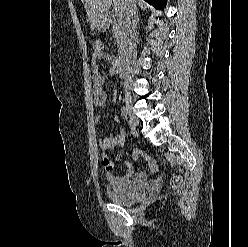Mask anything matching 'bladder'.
<instances>
[{
	"mask_svg": "<svg viewBox=\"0 0 248 247\" xmlns=\"http://www.w3.org/2000/svg\"><path fill=\"white\" fill-rule=\"evenodd\" d=\"M151 188L150 184H143L130 193L111 191L108 196L111 201L116 204L131 205L147 196L150 193Z\"/></svg>",
	"mask_w": 248,
	"mask_h": 247,
	"instance_id": "bladder-1",
	"label": "bladder"
}]
</instances>
